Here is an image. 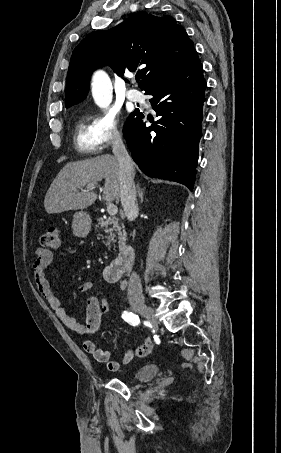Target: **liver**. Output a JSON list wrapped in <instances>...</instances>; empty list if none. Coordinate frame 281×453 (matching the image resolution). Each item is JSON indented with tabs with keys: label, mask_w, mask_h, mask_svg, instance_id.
Returning a JSON list of instances; mask_svg holds the SVG:
<instances>
[{
	"label": "liver",
	"mask_w": 281,
	"mask_h": 453,
	"mask_svg": "<svg viewBox=\"0 0 281 453\" xmlns=\"http://www.w3.org/2000/svg\"><path fill=\"white\" fill-rule=\"evenodd\" d=\"M132 176H135L133 166ZM105 178L103 200H115L118 204L121 196L119 182V162L113 154H101L94 158L67 162L56 178L51 182L46 196L44 206L48 214L53 212H64V210H75V208H87L95 202L98 194L92 188H86L77 192V188H84L87 184H98Z\"/></svg>",
	"instance_id": "1"
}]
</instances>
